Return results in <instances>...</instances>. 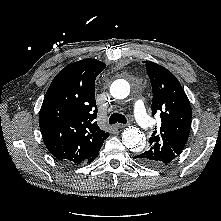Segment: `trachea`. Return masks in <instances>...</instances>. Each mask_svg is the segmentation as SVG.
Instances as JSON below:
<instances>
[{
    "label": "trachea",
    "mask_w": 221,
    "mask_h": 221,
    "mask_svg": "<svg viewBox=\"0 0 221 221\" xmlns=\"http://www.w3.org/2000/svg\"><path fill=\"white\" fill-rule=\"evenodd\" d=\"M117 122L121 123V124H125V123H127V119L124 115L119 114V113L111 114V116L109 118V123L110 124H115Z\"/></svg>",
    "instance_id": "trachea-1"
}]
</instances>
